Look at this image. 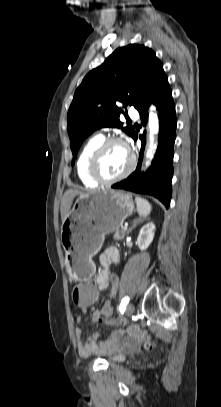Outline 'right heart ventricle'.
<instances>
[{"label": "right heart ventricle", "mask_w": 221, "mask_h": 407, "mask_svg": "<svg viewBox=\"0 0 221 407\" xmlns=\"http://www.w3.org/2000/svg\"><path fill=\"white\" fill-rule=\"evenodd\" d=\"M104 140L102 135H95L90 138L81 148L77 161H76V172L81 183L86 187H96L98 185L88 174V161L93 151L101 144Z\"/></svg>", "instance_id": "1"}]
</instances>
